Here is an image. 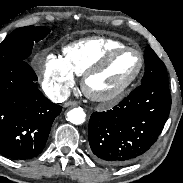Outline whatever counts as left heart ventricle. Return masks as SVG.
Instances as JSON below:
<instances>
[{
	"instance_id": "left-heart-ventricle-1",
	"label": "left heart ventricle",
	"mask_w": 183,
	"mask_h": 183,
	"mask_svg": "<svg viewBox=\"0 0 183 183\" xmlns=\"http://www.w3.org/2000/svg\"><path fill=\"white\" fill-rule=\"evenodd\" d=\"M139 56L132 51L118 54L107 69L93 76L89 88L98 94H109L124 86L139 67Z\"/></svg>"
}]
</instances>
